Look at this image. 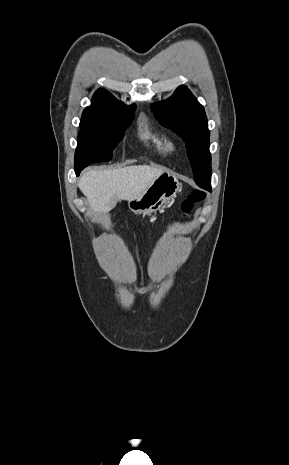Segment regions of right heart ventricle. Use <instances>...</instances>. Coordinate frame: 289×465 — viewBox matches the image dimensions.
<instances>
[{"mask_svg": "<svg viewBox=\"0 0 289 465\" xmlns=\"http://www.w3.org/2000/svg\"><path fill=\"white\" fill-rule=\"evenodd\" d=\"M138 132L139 137L147 147L158 153H164L167 151L168 140L166 135L155 129L147 119H139Z\"/></svg>", "mask_w": 289, "mask_h": 465, "instance_id": "e07e8e85", "label": "right heart ventricle"}]
</instances>
